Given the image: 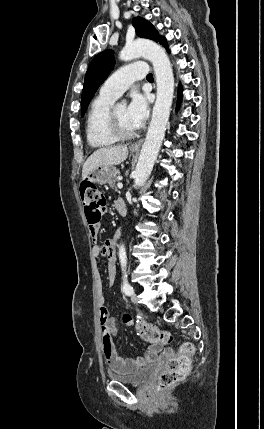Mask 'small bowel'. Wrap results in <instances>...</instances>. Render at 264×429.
<instances>
[{"mask_svg":"<svg viewBox=\"0 0 264 429\" xmlns=\"http://www.w3.org/2000/svg\"><path fill=\"white\" fill-rule=\"evenodd\" d=\"M121 202H123L121 199L115 200L114 207L116 208ZM90 233L95 241L98 234V225L91 226ZM120 237L121 232H117L114 239H108L103 244H97L94 242L92 246V255L94 258L97 259L101 255H105L107 257V277L109 285H113L116 278V259H114L113 256L116 255L115 246ZM97 282V300L99 305L103 353L110 369L115 373H131L143 366L156 362L159 358L160 352L162 351V346L159 345L151 344L145 353L137 358H125L118 354L113 342V337L117 333V323L115 319L110 316L105 306V297L99 276ZM164 354L166 356L171 355L169 351H165Z\"/></svg>","mask_w":264,"mask_h":429,"instance_id":"obj_1","label":"small bowel"}]
</instances>
